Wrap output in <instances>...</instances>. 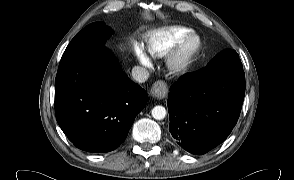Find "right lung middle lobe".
Segmentation results:
<instances>
[{"mask_svg": "<svg viewBox=\"0 0 294 180\" xmlns=\"http://www.w3.org/2000/svg\"><path fill=\"white\" fill-rule=\"evenodd\" d=\"M112 30L103 22H96L82 29L69 43L62 57L89 48L101 47L111 36Z\"/></svg>", "mask_w": 294, "mask_h": 180, "instance_id": "1", "label": "right lung middle lobe"}]
</instances>
